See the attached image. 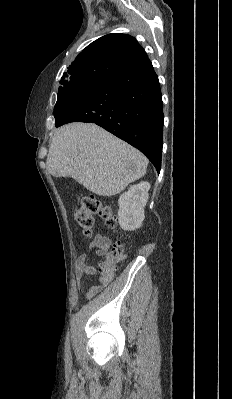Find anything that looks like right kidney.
<instances>
[{"instance_id": "ca27d5eb", "label": "right kidney", "mask_w": 232, "mask_h": 399, "mask_svg": "<svg viewBox=\"0 0 232 399\" xmlns=\"http://www.w3.org/2000/svg\"><path fill=\"white\" fill-rule=\"evenodd\" d=\"M149 182H140L130 186L128 192L121 194L118 200V221L122 229L134 231L140 227L145 215L144 207L148 201Z\"/></svg>"}]
</instances>
